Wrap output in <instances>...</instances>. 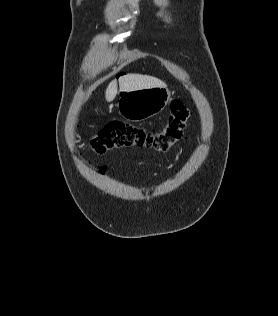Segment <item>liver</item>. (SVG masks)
Returning <instances> with one entry per match:
<instances>
[{"instance_id": "liver-1", "label": "liver", "mask_w": 278, "mask_h": 316, "mask_svg": "<svg viewBox=\"0 0 278 316\" xmlns=\"http://www.w3.org/2000/svg\"><path fill=\"white\" fill-rule=\"evenodd\" d=\"M117 87L116 80L109 83L105 92V98L108 102L113 101L116 97ZM153 87H166V84L163 81L148 75L126 74L119 78V88L121 92H129Z\"/></svg>"}]
</instances>
